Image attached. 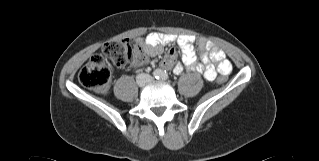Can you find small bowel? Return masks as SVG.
Returning <instances> with one entry per match:
<instances>
[{
	"instance_id": "1",
	"label": "small bowel",
	"mask_w": 319,
	"mask_h": 161,
	"mask_svg": "<svg viewBox=\"0 0 319 161\" xmlns=\"http://www.w3.org/2000/svg\"><path fill=\"white\" fill-rule=\"evenodd\" d=\"M144 44L152 56H158L163 53L166 44L175 43L177 49L181 52L184 65L192 71L201 74L205 79L212 81L216 78L217 73L228 75L232 70L230 61L226 58L225 53L219 48H211V44L200 41V60L194 50L195 39L190 35H173L151 32L145 38L139 39ZM177 49L172 47L168 50L165 59L161 65L166 68L173 67L174 72L179 74L183 71L181 64H175ZM215 63V65L212 64Z\"/></svg>"
}]
</instances>
